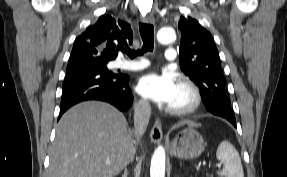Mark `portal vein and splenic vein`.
I'll use <instances>...</instances> for the list:
<instances>
[{"label": "portal vein and splenic vein", "instance_id": "18ae733b", "mask_svg": "<svg viewBox=\"0 0 287 177\" xmlns=\"http://www.w3.org/2000/svg\"><path fill=\"white\" fill-rule=\"evenodd\" d=\"M106 164H110V161H106ZM208 167L209 168H211V167L220 168L221 164H215V165L209 164Z\"/></svg>", "mask_w": 287, "mask_h": 177}]
</instances>
